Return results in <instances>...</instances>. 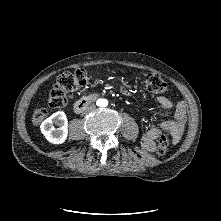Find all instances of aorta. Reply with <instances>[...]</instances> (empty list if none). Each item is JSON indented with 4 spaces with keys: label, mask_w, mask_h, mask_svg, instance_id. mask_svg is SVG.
Masks as SVG:
<instances>
[{
    "label": "aorta",
    "mask_w": 221,
    "mask_h": 221,
    "mask_svg": "<svg viewBox=\"0 0 221 221\" xmlns=\"http://www.w3.org/2000/svg\"><path fill=\"white\" fill-rule=\"evenodd\" d=\"M96 103H97V106L105 107L107 105V100L106 99H98Z\"/></svg>",
    "instance_id": "aorta-1"
}]
</instances>
